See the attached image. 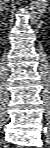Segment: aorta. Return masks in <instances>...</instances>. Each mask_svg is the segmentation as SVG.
<instances>
[{
	"instance_id": "1",
	"label": "aorta",
	"mask_w": 50,
	"mask_h": 148,
	"mask_svg": "<svg viewBox=\"0 0 50 148\" xmlns=\"http://www.w3.org/2000/svg\"><path fill=\"white\" fill-rule=\"evenodd\" d=\"M46 0H31V19L38 20L46 9Z\"/></svg>"
}]
</instances>
